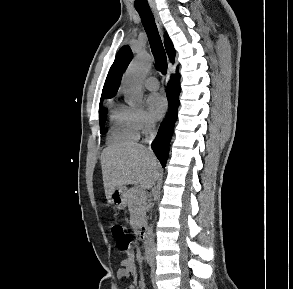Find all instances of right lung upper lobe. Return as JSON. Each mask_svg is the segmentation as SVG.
<instances>
[{
    "mask_svg": "<svg viewBox=\"0 0 293 289\" xmlns=\"http://www.w3.org/2000/svg\"><path fill=\"white\" fill-rule=\"evenodd\" d=\"M164 45L170 60L173 62L175 57V49L167 33H165L164 35ZM131 59L132 51L130 47L123 46L117 53L115 61L111 66L108 76L106 78L101 96L102 101L105 97L111 98L116 95L117 90L120 86L122 74L124 70L127 68Z\"/></svg>",
    "mask_w": 293,
    "mask_h": 289,
    "instance_id": "1",
    "label": "right lung upper lobe"
}]
</instances>
